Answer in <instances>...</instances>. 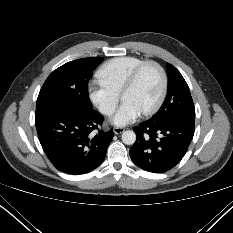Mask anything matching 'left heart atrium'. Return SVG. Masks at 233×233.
<instances>
[{
  "mask_svg": "<svg viewBox=\"0 0 233 233\" xmlns=\"http://www.w3.org/2000/svg\"><path fill=\"white\" fill-rule=\"evenodd\" d=\"M142 111L129 101H123L116 114L114 115L112 122L117 126H125L135 121Z\"/></svg>",
  "mask_w": 233,
  "mask_h": 233,
  "instance_id": "39dd6f15",
  "label": "left heart atrium"
}]
</instances>
